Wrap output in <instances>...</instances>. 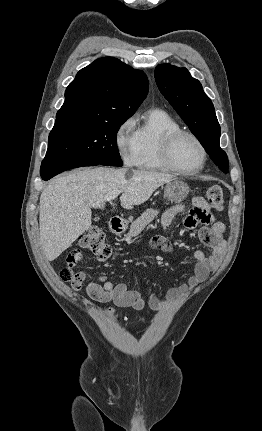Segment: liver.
I'll return each instance as SVG.
<instances>
[{"label":"liver","mask_w":262,"mask_h":431,"mask_svg":"<svg viewBox=\"0 0 262 431\" xmlns=\"http://www.w3.org/2000/svg\"><path fill=\"white\" fill-rule=\"evenodd\" d=\"M174 179L167 173L107 167L84 168L57 176L40 196V242L47 260H55L89 229L91 208L103 207L111 192L121 191V206L131 209Z\"/></svg>","instance_id":"1"}]
</instances>
